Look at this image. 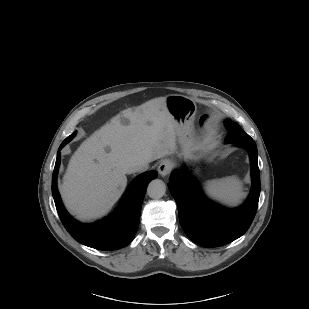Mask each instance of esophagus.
<instances>
[{"mask_svg":"<svg viewBox=\"0 0 309 309\" xmlns=\"http://www.w3.org/2000/svg\"><path fill=\"white\" fill-rule=\"evenodd\" d=\"M171 170V164L168 161H162L158 166V172L161 176H166Z\"/></svg>","mask_w":309,"mask_h":309,"instance_id":"34e87169","label":"esophagus"}]
</instances>
